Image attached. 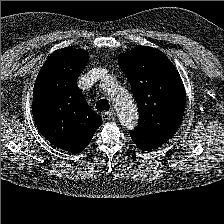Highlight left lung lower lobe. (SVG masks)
I'll list each match as a JSON object with an SVG mask.
<instances>
[{"label": "left lung lower lobe", "mask_w": 224, "mask_h": 224, "mask_svg": "<svg viewBox=\"0 0 224 224\" xmlns=\"http://www.w3.org/2000/svg\"><path fill=\"white\" fill-rule=\"evenodd\" d=\"M130 136L132 141L139 147L142 151H151L161 146L160 143L152 140L148 136L137 132V131H130Z\"/></svg>", "instance_id": "left-lung-lower-lobe-1"}]
</instances>
